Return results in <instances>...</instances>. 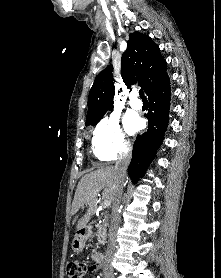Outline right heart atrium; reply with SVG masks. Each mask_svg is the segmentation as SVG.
Wrapping results in <instances>:
<instances>
[{"label": "right heart atrium", "instance_id": "1", "mask_svg": "<svg viewBox=\"0 0 221 278\" xmlns=\"http://www.w3.org/2000/svg\"><path fill=\"white\" fill-rule=\"evenodd\" d=\"M92 150L101 161L115 160L131 150L118 116L110 114L99 121L93 130Z\"/></svg>", "mask_w": 221, "mask_h": 278}]
</instances>
